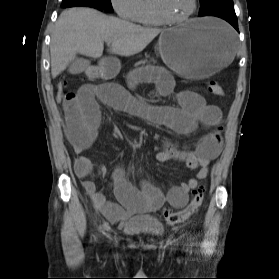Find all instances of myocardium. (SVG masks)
Here are the masks:
<instances>
[{
  "label": "myocardium",
  "instance_id": "1",
  "mask_svg": "<svg viewBox=\"0 0 279 279\" xmlns=\"http://www.w3.org/2000/svg\"><path fill=\"white\" fill-rule=\"evenodd\" d=\"M152 2H153L154 10H155L157 16L160 18V20L163 23L173 24V25L181 24V23L188 21L190 18L193 17V15L195 14L197 7H198V0H192V7L187 12L186 15L179 17V18H173V17H170L166 13L164 4H163V0H152Z\"/></svg>",
  "mask_w": 279,
  "mask_h": 279
}]
</instances>
